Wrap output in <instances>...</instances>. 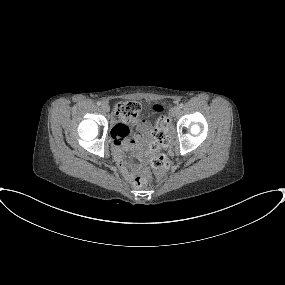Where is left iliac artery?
Wrapping results in <instances>:
<instances>
[{
  "mask_svg": "<svg viewBox=\"0 0 285 285\" xmlns=\"http://www.w3.org/2000/svg\"><path fill=\"white\" fill-rule=\"evenodd\" d=\"M179 107H180V108H183V107H184V104H183V103L179 104Z\"/></svg>",
  "mask_w": 285,
  "mask_h": 285,
  "instance_id": "44dca946",
  "label": "left iliac artery"
}]
</instances>
